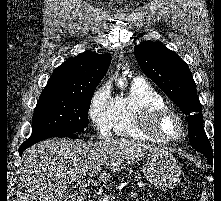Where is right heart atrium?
<instances>
[{"mask_svg": "<svg viewBox=\"0 0 221 201\" xmlns=\"http://www.w3.org/2000/svg\"><path fill=\"white\" fill-rule=\"evenodd\" d=\"M115 98L109 83H104L94 92L89 106L88 116L96 131L107 136L113 129Z\"/></svg>", "mask_w": 221, "mask_h": 201, "instance_id": "right-heart-atrium-1", "label": "right heart atrium"}]
</instances>
